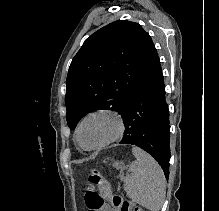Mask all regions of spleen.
<instances>
[{"mask_svg":"<svg viewBox=\"0 0 219 211\" xmlns=\"http://www.w3.org/2000/svg\"><path fill=\"white\" fill-rule=\"evenodd\" d=\"M132 151L136 159L129 165L128 171H132L131 175L124 177L125 191L132 201L151 211H159L166 191L164 171L159 163L141 147L135 145Z\"/></svg>","mask_w":219,"mask_h":211,"instance_id":"3e777b00","label":"spleen"}]
</instances>
